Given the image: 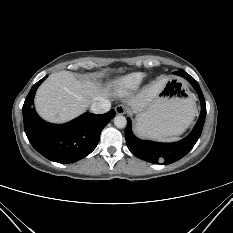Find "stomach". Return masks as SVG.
Wrapping results in <instances>:
<instances>
[{
    "instance_id": "1",
    "label": "stomach",
    "mask_w": 233,
    "mask_h": 233,
    "mask_svg": "<svg viewBox=\"0 0 233 233\" xmlns=\"http://www.w3.org/2000/svg\"><path fill=\"white\" fill-rule=\"evenodd\" d=\"M195 102L177 78L167 80L153 101L136 112L138 135L163 139L182 134L194 119Z\"/></svg>"
}]
</instances>
